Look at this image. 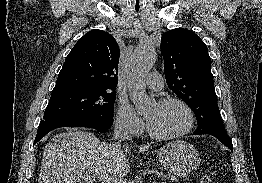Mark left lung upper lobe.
<instances>
[{
	"instance_id": "obj_1",
	"label": "left lung upper lobe",
	"mask_w": 262,
	"mask_h": 183,
	"mask_svg": "<svg viewBox=\"0 0 262 183\" xmlns=\"http://www.w3.org/2000/svg\"><path fill=\"white\" fill-rule=\"evenodd\" d=\"M161 53L170 89L192 108L198 123L193 134L223 133L207 46L194 32L176 28L162 35Z\"/></svg>"
}]
</instances>
